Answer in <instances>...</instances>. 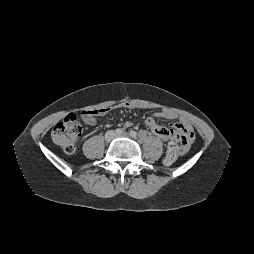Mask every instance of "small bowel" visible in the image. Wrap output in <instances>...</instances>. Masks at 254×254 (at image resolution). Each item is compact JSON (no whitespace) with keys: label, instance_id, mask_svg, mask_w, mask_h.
<instances>
[{"label":"small bowel","instance_id":"obj_1","mask_svg":"<svg viewBox=\"0 0 254 254\" xmlns=\"http://www.w3.org/2000/svg\"><path fill=\"white\" fill-rule=\"evenodd\" d=\"M124 107L132 108L133 106L130 104H124ZM107 112V108L100 109L98 114L94 116L88 115L87 112H85L83 115V119L87 124L94 125L96 123V116L104 115ZM155 118L173 119L175 118V115L170 111L162 110L155 113L154 117L146 118L144 121V125L161 140L171 143L177 142L180 147L181 155L185 154L189 150V147L194 139V133L190 125L185 121H181L179 123L173 124L171 128H166L158 125L155 121ZM129 125L130 123L127 122L126 126Z\"/></svg>","mask_w":254,"mask_h":254}]
</instances>
